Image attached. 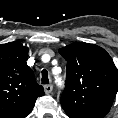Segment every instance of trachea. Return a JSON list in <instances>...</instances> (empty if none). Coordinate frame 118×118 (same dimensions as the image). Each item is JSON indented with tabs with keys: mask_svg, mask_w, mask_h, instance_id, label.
<instances>
[{
	"mask_svg": "<svg viewBox=\"0 0 118 118\" xmlns=\"http://www.w3.org/2000/svg\"><path fill=\"white\" fill-rule=\"evenodd\" d=\"M42 84H48L49 83V77L47 70H42V78H41Z\"/></svg>",
	"mask_w": 118,
	"mask_h": 118,
	"instance_id": "3493384b",
	"label": "trachea"
}]
</instances>
